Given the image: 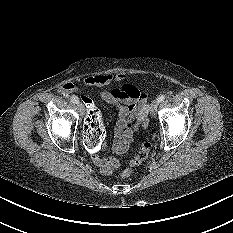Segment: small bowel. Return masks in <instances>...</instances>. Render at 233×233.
<instances>
[{
	"instance_id": "c3829d8e",
	"label": "small bowel",
	"mask_w": 233,
	"mask_h": 233,
	"mask_svg": "<svg viewBox=\"0 0 233 233\" xmlns=\"http://www.w3.org/2000/svg\"><path fill=\"white\" fill-rule=\"evenodd\" d=\"M124 77L122 73L96 75L85 79L84 86L85 88L104 87L112 83L121 82ZM76 92H78V88L72 83H66L59 89V93L62 95ZM100 96L102 100L117 108L118 119L116 122L112 149L115 153L122 154L131 144L133 135L138 130L142 120L147 117V96L131 84H123L109 91H102ZM102 141L104 148V138ZM93 162L104 175L112 174L119 167L117 159L103 158L97 153L93 156Z\"/></svg>"
}]
</instances>
